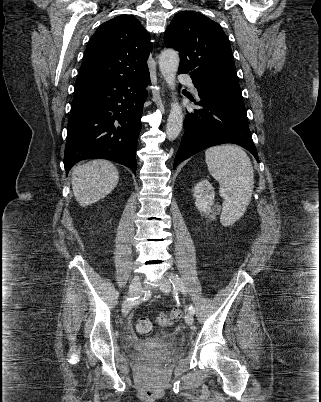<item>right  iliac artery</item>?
I'll list each match as a JSON object with an SVG mask.
<instances>
[{"mask_svg": "<svg viewBox=\"0 0 321 402\" xmlns=\"http://www.w3.org/2000/svg\"><path fill=\"white\" fill-rule=\"evenodd\" d=\"M135 299H136V298H127L126 301H128V302H134ZM135 302H136V301H135Z\"/></svg>", "mask_w": 321, "mask_h": 402, "instance_id": "82829eb1", "label": "right iliac artery"}]
</instances>
